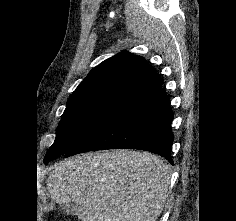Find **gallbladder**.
I'll return each mask as SVG.
<instances>
[{"label": "gallbladder", "mask_w": 236, "mask_h": 221, "mask_svg": "<svg viewBox=\"0 0 236 221\" xmlns=\"http://www.w3.org/2000/svg\"><path fill=\"white\" fill-rule=\"evenodd\" d=\"M75 203L74 202H67L61 205V209L64 213L68 215H74L75 214Z\"/></svg>", "instance_id": "obj_1"}]
</instances>
